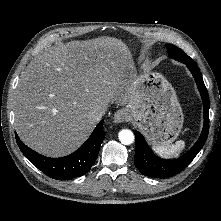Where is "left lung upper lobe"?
I'll return each mask as SVG.
<instances>
[{"label":"left lung upper lobe","instance_id":"5c2ea615","mask_svg":"<svg viewBox=\"0 0 221 221\" xmlns=\"http://www.w3.org/2000/svg\"><path fill=\"white\" fill-rule=\"evenodd\" d=\"M166 48L168 50V55L175 60H178L182 63L193 61L192 58L186 55L183 50L174 45L167 44Z\"/></svg>","mask_w":221,"mask_h":221}]
</instances>
